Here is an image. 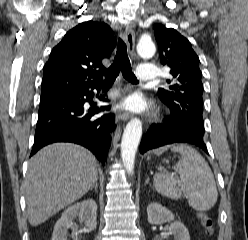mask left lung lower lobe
I'll list each match as a JSON object with an SVG mask.
<instances>
[{"label":"left lung lower lobe","mask_w":248,"mask_h":240,"mask_svg":"<svg viewBox=\"0 0 248 240\" xmlns=\"http://www.w3.org/2000/svg\"><path fill=\"white\" fill-rule=\"evenodd\" d=\"M204 128L193 121L176 122L164 119L163 123L152 124L140 144V152L172 143H185L197 146L207 152L204 143Z\"/></svg>","instance_id":"left-lung-lower-lobe-1"}]
</instances>
